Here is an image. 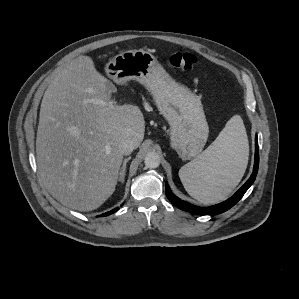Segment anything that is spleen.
Wrapping results in <instances>:
<instances>
[{
  "label": "spleen",
  "instance_id": "spleen-1",
  "mask_svg": "<svg viewBox=\"0 0 299 299\" xmlns=\"http://www.w3.org/2000/svg\"><path fill=\"white\" fill-rule=\"evenodd\" d=\"M248 152L243 120L235 115L201 155L179 170L185 190L205 204L223 201L241 181Z\"/></svg>",
  "mask_w": 299,
  "mask_h": 299
}]
</instances>
